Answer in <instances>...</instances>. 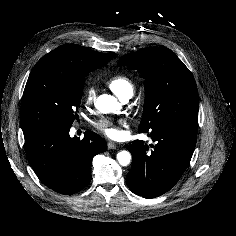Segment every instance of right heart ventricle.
<instances>
[{"label":"right heart ventricle","instance_id":"e07e8e85","mask_svg":"<svg viewBox=\"0 0 236 236\" xmlns=\"http://www.w3.org/2000/svg\"><path fill=\"white\" fill-rule=\"evenodd\" d=\"M107 86L120 99L125 96H132L135 88L133 81L123 74L114 75L108 79Z\"/></svg>","mask_w":236,"mask_h":236}]
</instances>
